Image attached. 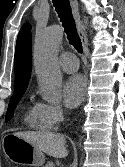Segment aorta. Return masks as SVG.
Here are the masks:
<instances>
[{"mask_svg":"<svg viewBox=\"0 0 125 167\" xmlns=\"http://www.w3.org/2000/svg\"><path fill=\"white\" fill-rule=\"evenodd\" d=\"M62 38V28L53 25L39 31L34 44V65L42 98L50 103H59L62 97V76L57 62Z\"/></svg>","mask_w":125,"mask_h":167,"instance_id":"aorta-1","label":"aorta"}]
</instances>
